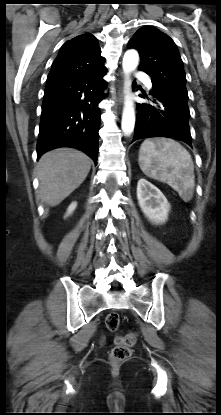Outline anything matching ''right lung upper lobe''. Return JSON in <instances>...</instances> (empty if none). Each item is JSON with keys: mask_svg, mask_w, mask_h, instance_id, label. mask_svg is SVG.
Returning a JSON list of instances; mask_svg holds the SVG:
<instances>
[{"mask_svg": "<svg viewBox=\"0 0 221 415\" xmlns=\"http://www.w3.org/2000/svg\"><path fill=\"white\" fill-rule=\"evenodd\" d=\"M105 70L97 39L91 34H82L64 43L53 62L47 83L94 75Z\"/></svg>", "mask_w": 221, "mask_h": 415, "instance_id": "1", "label": "right lung upper lobe"}]
</instances>
